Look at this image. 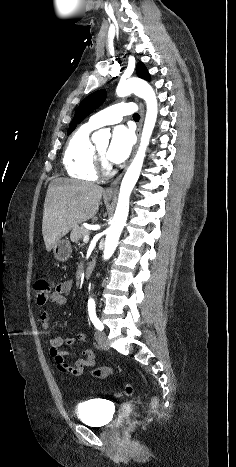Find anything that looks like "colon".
<instances>
[{
    "label": "colon",
    "instance_id": "1",
    "mask_svg": "<svg viewBox=\"0 0 236 467\" xmlns=\"http://www.w3.org/2000/svg\"><path fill=\"white\" fill-rule=\"evenodd\" d=\"M35 294L36 301L39 305H45L52 295L51 285L45 279H40L35 283ZM134 388L131 384H127L120 392L117 393V396H130L133 394ZM157 405V399L153 398L151 400V407Z\"/></svg>",
    "mask_w": 236,
    "mask_h": 467
}]
</instances>
